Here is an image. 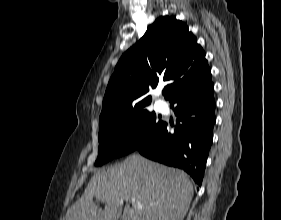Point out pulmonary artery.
<instances>
[{
	"instance_id": "obj_1",
	"label": "pulmonary artery",
	"mask_w": 281,
	"mask_h": 220,
	"mask_svg": "<svg viewBox=\"0 0 281 220\" xmlns=\"http://www.w3.org/2000/svg\"><path fill=\"white\" fill-rule=\"evenodd\" d=\"M158 106H159L160 108H163V107H164V103L158 102Z\"/></svg>"
}]
</instances>
